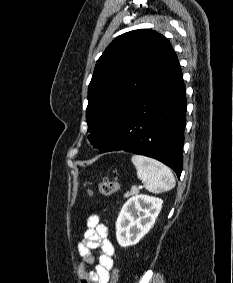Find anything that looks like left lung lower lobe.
Wrapping results in <instances>:
<instances>
[{"instance_id": "left-lung-lower-lobe-1", "label": "left lung lower lobe", "mask_w": 233, "mask_h": 283, "mask_svg": "<svg viewBox=\"0 0 233 283\" xmlns=\"http://www.w3.org/2000/svg\"><path fill=\"white\" fill-rule=\"evenodd\" d=\"M186 124V91L176 53L153 72L114 137L100 150L128 151L157 159L180 178Z\"/></svg>"}]
</instances>
